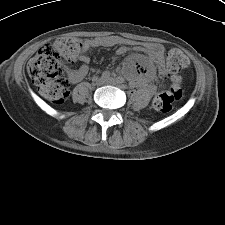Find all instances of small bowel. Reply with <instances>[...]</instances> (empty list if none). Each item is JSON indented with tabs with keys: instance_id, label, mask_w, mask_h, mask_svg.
Wrapping results in <instances>:
<instances>
[{
	"instance_id": "small-bowel-1",
	"label": "small bowel",
	"mask_w": 225,
	"mask_h": 225,
	"mask_svg": "<svg viewBox=\"0 0 225 225\" xmlns=\"http://www.w3.org/2000/svg\"><path fill=\"white\" fill-rule=\"evenodd\" d=\"M121 41L117 37H97V38H90V39H85L82 43V52L80 54V61H81V66L78 69L75 70H66L67 76L69 80L72 83L79 82L82 80L88 73L89 71V52L92 51L95 48H109V47H114L117 45H120ZM138 51L146 53L149 57L150 63L157 65V66H162L163 64V56H164V49L161 45L159 44H146L142 45L136 48ZM130 51V48L125 46V45H120L116 49V54L117 55H124Z\"/></svg>"
}]
</instances>
